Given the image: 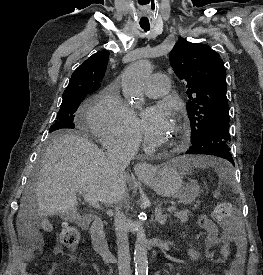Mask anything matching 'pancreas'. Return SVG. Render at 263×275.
I'll return each instance as SVG.
<instances>
[{"label": "pancreas", "instance_id": "cf45deb5", "mask_svg": "<svg viewBox=\"0 0 263 275\" xmlns=\"http://www.w3.org/2000/svg\"><path fill=\"white\" fill-rule=\"evenodd\" d=\"M175 216L177 218H179L181 221L185 222L188 220L189 217V211L185 210V211H177L175 212Z\"/></svg>", "mask_w": 263, "mask_h": 275}]
</instances>
